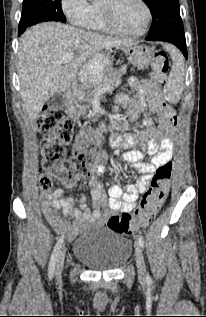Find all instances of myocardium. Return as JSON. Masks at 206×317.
Segmentation results:
<instances>
[{
  "mask_svg": "<svg viewBox=\"0 0 206 317\" xmlns=\"http://www.w3.org/2000/svg\"><path fill=\"white\" fill-rule=\"evenodd\" d=\"M137 2L143 7L146 15L144 26L140 31L132 34L121 31L114 22L113 11L109 4L101 5V10L107 29L115 35L129 39L139 38L145 35L148 32L152 21V12L145 0H137Z\"/></svg>",
  "mask_w": 206,
  "mask_h": 317,
  "instance_id": "myocardium-1",
  "label": "myocardium"
}]
</instances>
